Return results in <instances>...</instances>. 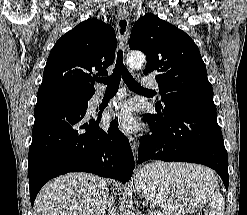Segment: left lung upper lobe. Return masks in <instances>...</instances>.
I'll return each mask as SVG.
<instances>
[{
	"label": "left lung upper lobe",
	"instance_id": "5c2ea615",
	"mask_svg": "<svg viewBox=\"0 0 247 215\" xmlns=\"http://www.w3.org/2000/svg\"><path fill=\"white\" fill-rule=\"evenodd\" d=\"M129 43L130 49L147 57L144 74H156L162 100L157 109L166 113L188 107L216 110L205 63L184 31L149 13L134 23Z\"/></svg>",
	"mask_w": 247,
	"mask_h": 215
}]
</instances>
